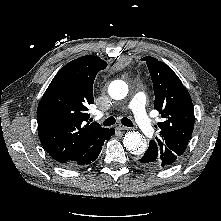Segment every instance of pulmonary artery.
<instances>
[{"instance_id": "pulmonary-artery-1", "label": "pulmonary artery", "mask_w": 221, "mask_h": 221, "mask_svg": "<svg viewBox=\"0 0 221 221\" xmlns=\"http://www.w3.org/2000/svg\"><path fill=\"white\" fill-rule=\"evenodd\" d=\"M146 96L143 92H138L131 100L129 108L133 112L135 122L140 130L146 135L151 136L154 132L152 121L145 108Z\"/></svg>"}]
</instances>
